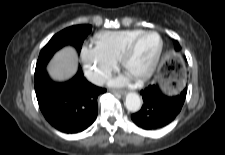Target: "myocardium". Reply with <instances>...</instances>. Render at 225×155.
I'll use <instances>...</instances> for the list:
<instances>
[{"instance_id":"obj_1","label":"myocardium","mask_w":225,"mask_h":155,"mask_svg":"<svg viewBox=\"0 0 225 155\" xmlns=\"http://www.w3.org/2000/svg\"><path fill=\"white\" fill-rule=\"evenodd\" d=\"M149 34H154L159 38V48L157 51V54L154 58V60L152 61L151 65L149 66V68L141 75L135 77L138 81H145L147 79H149L153 73L155 72L156 68L158 67L162 54H163V49H164V41L162 36L155 30H144L141 33H139L138 35H136L124 48L119 62L120 65L122 66V68H124L126 70V65L127 62L129 60V58L131 57V55L133 54V52L135 51L138 43L140 42V40L145 37L146 35Z\"/></svg>"}]
</instances>
